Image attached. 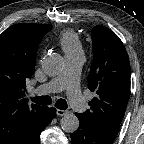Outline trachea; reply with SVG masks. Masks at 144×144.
Here are the masks:
<instances>
[{"instance_id": "obj_1", "label": "trachea", "mask_w": 144, "mask_h": 144, "mask_svg": "<svg viewBox=\"0 0 144 144\" xmlns=\"http://www.w3.org/2000/svg\"><path fill=\"white\" fill-rule=\"evenodd\" d=\"M32 101L39 105H50L52 103L50 96H37L32 98ZM55 105L60 110H65L68 107L67 102L64 99H58Z\"/></svg>"}]
</instances>
